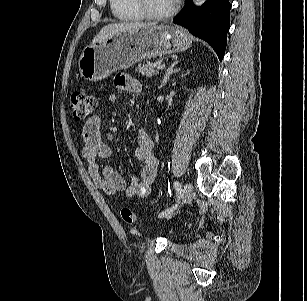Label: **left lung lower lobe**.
Listing matches in <instances>:
<instances>
[{"label": "left lung lower lobe", "mask_w": 307, "mask_h": 301, "mask_svg": "<svg viewBox=\"0 0 307 301\" xmlns=\"http://www.w3.org/2000/svg\"><path fill=\"white\" fill-rule=\"evenodd\" d=\"M229 0H207L196 7L193 0H185V7L173 23L184 26L194 36L207 41L222 61L230 27Z\"/></svg>", "instance_id": "left-lung-lower-lobe-1"}]
</instances>
